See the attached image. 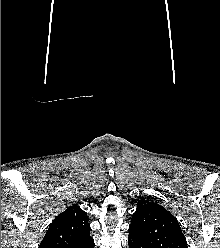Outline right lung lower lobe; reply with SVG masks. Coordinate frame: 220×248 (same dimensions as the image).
I'll return each mask as SVG.
<instances>
[{"label": "right lung lower lobe", "instance_id": "obj_1", "mask_svg": "<svg viewBox=\"0 0 220 248\" xmlns=\"http://www.w3.org/2000/svg\"><path fill=\"white\" fill-rule=\"evenodd\" d=\"M94 246V241L92 240L91 242L83 245V246H80L79 248H93Z\"/></svg>", "mask_w": 220, "mask_h": 248}]
</instances>
